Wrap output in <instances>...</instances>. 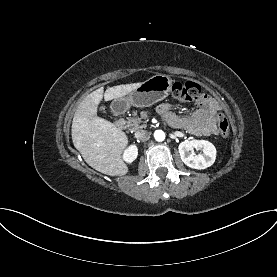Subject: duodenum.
Instances as JSON below:
<instances>
[{
    "label": "duodenum",
    "mask_w": 277,
    "mask_h": 277,
    "mask_svg": "<svg viewBox=\"0 0 277 277\" xmlns=\"http://www.w3.org/2000/svg\"><path fill=\"white\" fill-rule=\"evenodd\" d=\"M124 113V110L121 108H115L114 114L118 117V119L115 121V125L119 129H123L125 127V120L121 117Z\"/></svg>",
    "instance_id": "obj_1"
}]
</instances>
